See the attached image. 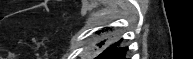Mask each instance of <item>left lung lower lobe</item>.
Returning <instances> with one entry per match:
<instances>
[{
  "label": "left lung lower lobe",
  "mask_w": 193,
  "mask_h": 59,
  "mask_svg": "<svg viewBox=\"0 0 193 59\" xmlns=\"http://www.w3.org/2000/svg\"><path fill=\"white\" fill-rule=\"evenodd\" d=\"M116 46L117 44L105 51L102 55L98 57V59H125L124 55L127 51V48H117Z\"/></svg>",
  "instance_id": "obj_1"
}]
</instances>
